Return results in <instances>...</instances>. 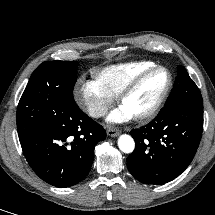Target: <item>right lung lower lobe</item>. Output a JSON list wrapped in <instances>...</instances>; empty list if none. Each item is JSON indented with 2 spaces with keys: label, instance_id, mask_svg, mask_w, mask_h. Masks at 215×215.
I'll return each instance as SVG.
<instances>
[{
  "label": "right lung lower lobe",
  "instance_id": "right-lung-lower-lobe-1",
  "mask_svg": "<svg viewBox=\"0 0 215 215\" xmlns=\"http://www.w3.org/2000/svg\"><path fill=\"white\" fill-rule=\"evenodd\" d=\"M106 138L104 128L78 106L20 140L33 171L56 187L77 184L89 173L95 145Z\"/></svg>",
  "mask_w": 215,
  "mask_h": 215
}]
</instances>
